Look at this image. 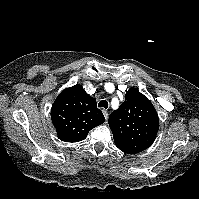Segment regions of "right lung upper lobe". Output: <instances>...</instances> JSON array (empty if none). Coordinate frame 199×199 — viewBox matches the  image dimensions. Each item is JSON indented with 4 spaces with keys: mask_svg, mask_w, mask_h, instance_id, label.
Returning <instances> with one entry per match:
<instances>
[{
    "mask_svg": "<svg viewBox=\"0 0 199 199\" xmlns=\"http://www.w3.org/2000/svg\"><path fill=\"white\" fill-rule=\"evenodd\" d=\"M51 119L59 139L69 143L84 140L91 129L105 121L96 100L81 85L59 94L51 109Z\"/></svg>",
    "mask_w": 199,
    "mask_h": 199,
    "instance_id": "obj_1",
    "label": "right lung upper lobe"
}]
</instances>
